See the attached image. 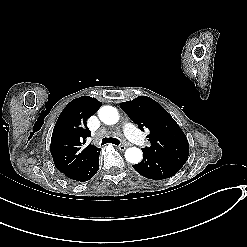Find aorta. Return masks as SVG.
<instances>
[{
  "mask_svg": "<svg viewBox=\"0 0 247 247\" xmlns=\"http://www.w3.org/2000/svg\"><path fill=\"white\" fill-rule=\"evenodd\" d=\"M99 118L103 123L113 125L118 122L119 113L117 109L112 106H103L99 110ZM142 156V151L136 147L128 148L125 151V159L132 164L140 163Z\"/></svg>",
  "mask_w": 247,
  "mask_h": 247,
  "instance_id": "aorta-1",
  "label": "aorta"
}]
</instances>
